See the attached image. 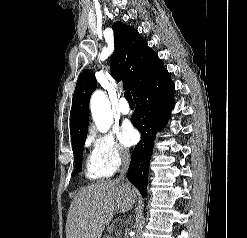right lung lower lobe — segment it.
Here are the masks:
<instances>
[{"label": "right lung lower lobe", "instance_id": "right-lung-lower-lobe-1", "mask_svg": "<svg viewBox=\"0 0 247 238\" xmlns=\"http://www.w3.org/2000/svg\"><path fill=\"white\" fill-rule=\"evenodd\" d=\"M174 83L167 69L134 98L136 110L132 123L141 133V140L132 152L128 179L141 192L147 195L149 161L153 152L156 131L160 130L171 114L174 106Z\"/></svg>", "mask_w": 247, "mask_h": 238}]
</instances>
